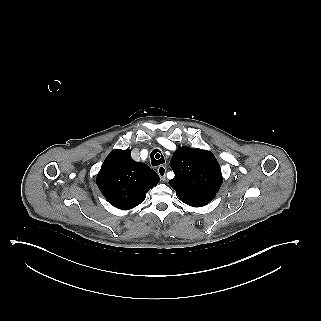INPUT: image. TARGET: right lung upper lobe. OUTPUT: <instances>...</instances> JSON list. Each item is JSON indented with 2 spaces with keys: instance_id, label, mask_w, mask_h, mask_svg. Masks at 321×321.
I'll use <instances>...</instances> for the list:
<instances>
[{
  "instance_id": "obj_1",
  "label": "right lung upper lobe",
  "mask_w": 321,
  "mask_h": 321,
  "mask_svg": "<svg viewBox=\"0 0 321 321\" xmlns=\"http://www.w3.org/2000/svg\"><path fill=\"white\" fill-rule=\"evenodd\" d=\"M160 180L148 165L135 162L130 150H113L103 162L97 185L109 203L118 209L138 206Z\"/></svg>"
}]
</instances>
